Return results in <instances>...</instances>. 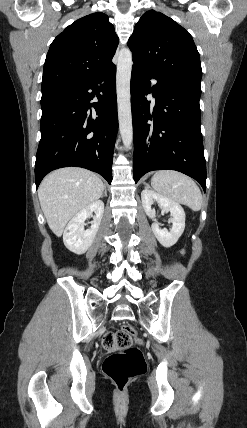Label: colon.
<instances>
[{
	"label": "colon",
	"instance_id": "5ec220e1",
	"mask_svg": "<svg viewBox=\"0 0 247 428\" xmlns=\"http://www.w3.org/2000/svg\"><path fill=\"white\" fill-rule=\"evenodd\" d=\"M135 343L140 340L135 328L129 324L116 332L105 333L102 338L103 348L114 351L105 359L103 371L119 390L145 371L143 354Z\"/></svg>",
	"mask_w": 247,
	"mask_h": 428
}]
</instances>
